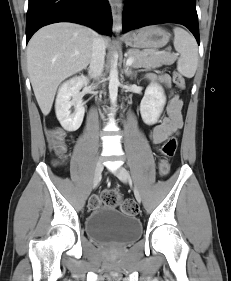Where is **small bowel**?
<instances>
[{
  "label": "small bowel",
  "instance_id": "small-bowel-1",
  "mask_svg": "<svg viewBox=\"0 0 231 281\" xmlns=\"http://www.w3.org/2000/svg\"><path fill=\"white\" fill-rule=\"evenodd\" d=\"M146 78L149 82H157L170 88V80L164 74H148ZM182 107V100L171 91L167 102V116L161 117L160 123L154 125L149 133L150 140L156 147L163 143L170 135L177 134L182 128Z\"/></svg>",
  "mask_w": 231,
  "mask_h": 281
}]
</instances>
